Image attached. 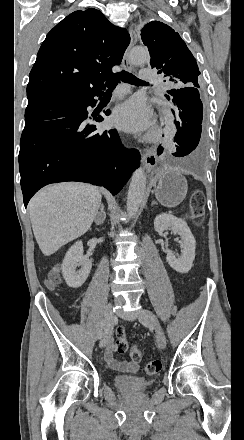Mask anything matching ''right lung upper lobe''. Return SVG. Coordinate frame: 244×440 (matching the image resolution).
Wrapping results in <instances>:
<instances>
[{
    "label": "right lung upper lobe",
    "mask_w": 244,
    "mask_h": 440,
    "mask_svg": "<svg viewBox=\"0 0 244 440\" xmlns=\"http://www.w3.org/2000/svg\"><path fill=\"white\" fill-rule=\"evenodd\" d=\"M130 43L125 29L97 9L75 11L46 36L29 75L28 100L76 97L112 77Z\"/></svg>",
    "instance_id": "obj_1"
}]
</instances>
